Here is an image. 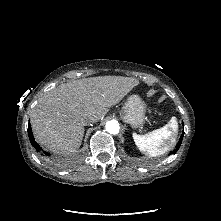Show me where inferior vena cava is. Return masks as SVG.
<instances>
[{"label":"inferior vena cava","mask_w":221,"mask_h":221,"mask_svg":"<svg viewBox=\"0 0 221 221\" xmlns=\"http://www.w3.org/2000/svg\"><path fill=\"white\" fill-rule=\"evenodd\" d=\"M82 123L83 125H88L92 123V119L90 117L84 118Z\"/></svg>","instance_id":"602c4592"}]
</instances>
